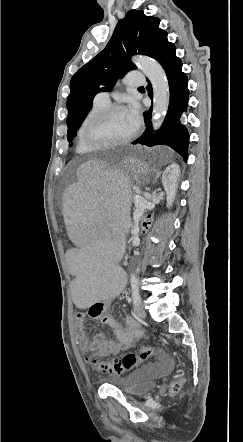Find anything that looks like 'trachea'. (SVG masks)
I'll use <instances>...</instances> for the list:
<instances>
[{"label":"trachea","mask_w":243,"mask_h":442,"mask_svg":"<svg viewBox=\"0 0 243 442\" xmlns=\"http://www.w3.org/2000/svg\"><path fill=\"white\" fill-rule=\"evenodd\" d=\"M144 87H139L138 89H143Z\"/></svg>","instance_id":"1"}]
</instances>
